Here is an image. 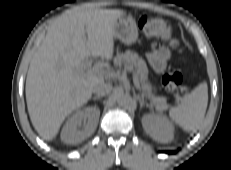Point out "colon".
<instances>
[{"instance_id": "obj_1", "label": "colon", "mask_w": 231, "mask_h": 170, "mask_svg": "<svg viewBox=\"0 0 231 170\" xmlns=\"http://www.w3.org/2000/svg\"><path fill=\"white\" fill-rule=\"evenodd\" d=\"M139 29L146 36H156L170 41L174 48L180 47V40L172 37V31L167 22L158 17L144 15L138 21ZM183 81V74L180 69L165 75L162 78L164 87L172 94H177L181 83Z\"/></svg>"}]
</instances>
